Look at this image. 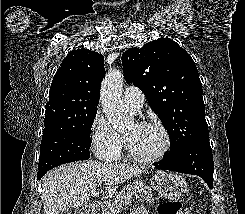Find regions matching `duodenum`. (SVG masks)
<instances>
[{"label":"duodenum","mask_w":245,"mask_h":214,"mask_svg":"<svg viewBox=\"0 0 245 214\" xmlns=\"http://www.w3.org/2000/svg\"><path fill=\"white\" fill-rule=\"evenodd\" d=\"M103 211L102 201L96 200L92 202L89 206L81 208L77 214H101Z\"/></svg>","instance_id":"410a0bca"}]
</instances>
